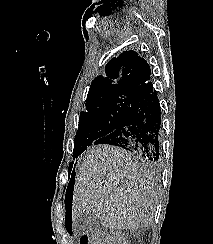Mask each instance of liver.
<instances>
[{"instance_id":"obj_1","label":"liver","mask_w":213,"mask_h":244,"mask_svg":"<svg viewBox=\"0 0 213 244\" xmlns=\"http://www.w3.org/2000/svg\"><path fill=\"white\" fill-rule=\"evenodd\" d=\"M159 196L158 179L142 160L118 147H92L76 174L72 219L92 213L111 230L146 228Z\"/></svg>"}]
</instances>
